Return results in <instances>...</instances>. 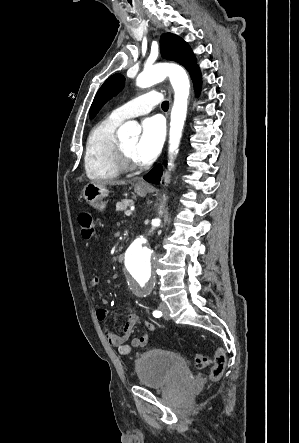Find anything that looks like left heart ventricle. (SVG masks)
Segmentation results:
<instances>
[{
  "label": "left heart ventricle",
  "instance_id": "1",
  "mask_svg": "<svg viewBox=\"0 0 299 443\" xmlns=\"http://www.w3.org/2000/svg\"><path fill=\"white\" fill-rule=\"evenodd\" d=\"M137 143H138V137H134V138L122 141V144H123L126 152L136 162H138L136 159V156H135V149H136Z\"/></svg>",
  "mask_w": 299,
  "mask_h": 443
}]
</instances>
